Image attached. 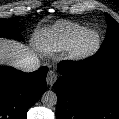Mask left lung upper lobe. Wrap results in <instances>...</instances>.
Masks as SVG:
<instances>
[{"label": "left lung upper lobe", "instance_id": "obj_1", "mask_svg": "<svg viewBox=\"0 0 119 119\" xmlns=\"http://www.w3.org/2000/svg\"><path fill=\"white\" fill-rule=\"evenodd\" d=\"M108 29L105 40L100 47V54L109 57L119 54V24L107 13H105Z\"/></svg>", "mask_w": 119, "mask_h": 119}]
</instances>
